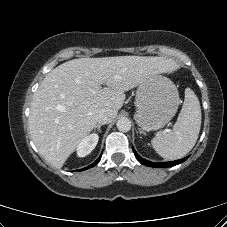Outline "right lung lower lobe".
<instances>
[{"instance_id": "obj_1", "label": "right lung lower lobe", "mask_w": 227, "mask_h": 227, "mask_svg": "<svg viewBox=\"0 0 227 227\" xmlns=\"http://www.w3.org/2000/svg\"><path fill=\"white\" fill-rule=\"evenodd\" d=\"M101 156H102V154L100 155V157H99L94 163H92V164L89 165L88 167H86V168H84V169H81V170L89 169V168H92V167H94L95 165H97L98 162H99L100 159H101Z\"/></svg>"}]
</instances>
